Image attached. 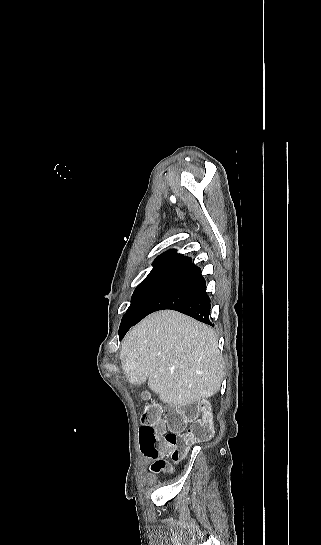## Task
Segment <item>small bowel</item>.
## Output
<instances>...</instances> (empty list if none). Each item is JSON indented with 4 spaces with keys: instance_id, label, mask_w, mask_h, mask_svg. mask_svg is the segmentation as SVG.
I'll return each instance as SVG.
<instances>
[{
    "instance_id": "c3829d8e",
    "label": "small bowel",
    "mask_w": 321,
    "mask_h": 545,
    "mask_svg": "<svg viewBox=\"0 0 321 545\" xmlns=\"http://www.w3.org/2000/svg\"><path fill=\"white\" fill-rule=\"evenodd\" d=\"M161 461H164L162 459H157L153 465H152V470L155 471V472H158V469H157V464L160 463Z\"/></svg>"
}]
</instances>
